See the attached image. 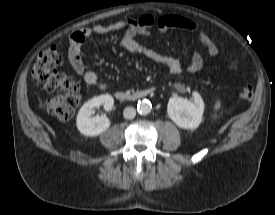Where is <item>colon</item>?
<instances>
[{"label":"colon","instance_id":"colon-1","mask_svg":"<svg viewBox=\"0 0 275 215\" xmlns=\"http://www.w3.org/2000/svg\"><path fill=\"white\" fill-rule=\"evenodd\" d=\"M62 60L61 53L55 47L42 51L34 63L32 75L41 88L55 93L45 100L48 112L66 121L73 116L80 103L81 90L77 81L57 70ZM238 66V61L232 62V68ZM253 95L250 86L243 87L239 92L242 100H250Z\"/></svg>","mask_w":275,"mask_h":215}]
</instances>
